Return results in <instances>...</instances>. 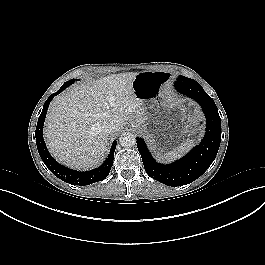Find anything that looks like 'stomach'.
Returning <instances> with one entry per match:
<instances>
[{
	"mask_svg": "<svg viewBox=\"0 0 265 265\" xmlns=\"http://www.w3.org/2000/svg\"><path fill=\"white\" fill-rule=\"evenodd\" d=\"M170 80L166 72L143 71L133 80L136 97L141 101L143 116L131 124L146 134L148 143L159 156L171 157L185 146L187 111L182 102L163 96Z\"/></svg>",
	"mask_w": 265,
	"mask_h": 265,
	"instance_id": "stomach-1",
	"label": "stomach"
}]
</instances>
